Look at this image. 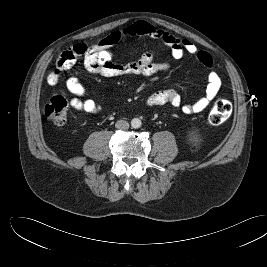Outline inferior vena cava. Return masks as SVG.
I'll return each instance as SVG.
<instances>
[{"label": "inferior vena cava", "instance_id": "1", "mask_svg": "<svg viewBox=\"0 0 267 267\" xmlns=\"http://www.w3.org/2000/svg\"><path fill=\"white\" fill-rule=\"evenodd\" d=\"M117 129L127 130L129 128V123L125 120H118L115 124Z\"/></svg>", "mask_w": 267, "mask_h": 267}]
</instances>
